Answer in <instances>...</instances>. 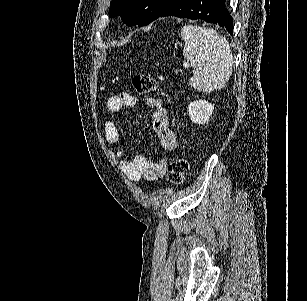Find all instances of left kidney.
<instances>
[{
	"instance_id": "obj_1",
	"label": "left kidney",
	"mask_w": 307,
	"mask_h": 301,
	"mask_svg": "<svg viewBox=\"0 0 307 301\" xmlns=\"http://www.w3.org/2000/svg\"><path fill=\"white\" fill-rule=\"evenodd\" d=\"M214 104L208 102V100H193L188 104V114L192 122L196 124H205L210 120L211 114H213Z\"/></svg>"
}]
</instances>
